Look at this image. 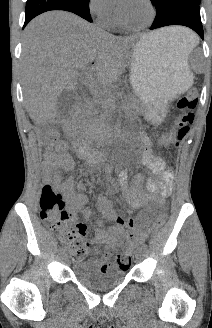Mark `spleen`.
<instances>
[{
    "label": "spleen",
    "mask_w": 212,
    "mask_h": 328,
    "mask_svg": "<svg viewBox=\"0 0 212 328\" xmlns=\"http://www.w3.org/2000/svg\"><path fill=\"white\" fill-rule=\"evenodd\" d=\"M185 31L184 37L182 39L181 49L183 50L185 56L188 58L190 52L199 43L198 37L190 30L183 28Z\"/></svg>",
    "instance_id": "spleen-1"
}]
</instances>
